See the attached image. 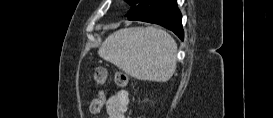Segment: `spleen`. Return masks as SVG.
<instances>
[{
  "label": "spleen",
  "mask_w": 273,
  "mask_h": 118,
  "mask_svg": "<svg viewBox=\"0 0 273 118\" xmlns=\"http://www.w3.org/2000/svg\"><path fill=\"white\" fill-rule=\"evenodd\" d=\"M98 54L133 78L165 82L176 70L177 44L164 30L131 27L108 36Z\"/></svg>",
  "instance_id": "3e777b00"
}]
</instances>
